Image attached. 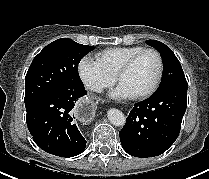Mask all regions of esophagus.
Returning <instances> with one entry per match:
<instances>
[{"mask_svg":"<svg viewBox=\"0 0 209 179\" xmlns=\"http://www.w3.org/2000/svg\"><path fill=\"white\" fill-rule=\"evenodd\" d=\"M72 114L78 122L86 123L94 117L95 109L89 101H78L73 106Z\"/></svg>","mask_w":209,"mask_h":179,"instance_id":"esophagus-1","label":"esophagus"}]
</instances>
